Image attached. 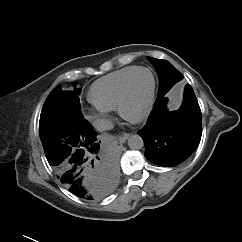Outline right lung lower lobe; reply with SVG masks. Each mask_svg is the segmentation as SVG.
I'll use <instances>...</instances> for the list:
<instances>
[{
    "mask_svg": "<svg viewBox=\"0 0 242 242\" xmlns=\"http://www.w3.org/2000/svg\"><path fill=\"white\" fill-rule=\"evenodd\" d=\"M96 136L90 125L52 140L44 149L58 179L71 193L84 199L103 198L116 183L115 167L100 158Z\"/></svg>",
    "mask_w": 242,
    "mask_h": 242,
    "instance_id": "right-lung-lower-lobe-1",
    "label": "right lung lower lobe"
}]
</instances>
